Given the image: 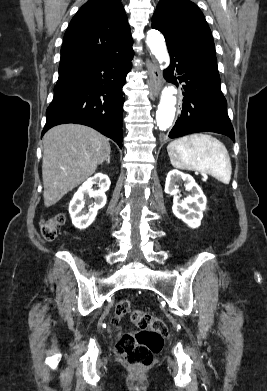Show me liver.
<instances>
[{"label":"liver","instance_id":"1","mask_svg":"<svg viewBox=\"0 0 267 391\" xmlns=\"http://www.w3.org/2000/svg\"><path fill=\"white\" fill-rule=\"evenodd\" d=\"M44 205L56 204L110 158L109 140L87 126L64 124L43 137Z\"/></svg>","mask_w":267,"mask_h":391}]
</instances>
